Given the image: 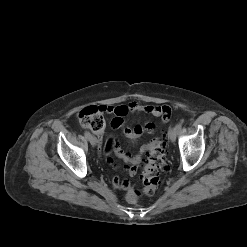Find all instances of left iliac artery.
Here are the masks:
<instances>
[{"mask_svg": "<svg viewBox=\"0 0 247 247\" xmlns=\"http://www.w3.org/2000/svg\"><path fill=\"white\" fill-rule=\"evenodd\" d=\"M181 127H182V124H181V123H178V124L176 125L177 130H180Z\"/></svg>", "mask_w": 247, "mask_h": 247, "instance_id": "obj_1", "label": "left iliac artery"}]
</instances>
